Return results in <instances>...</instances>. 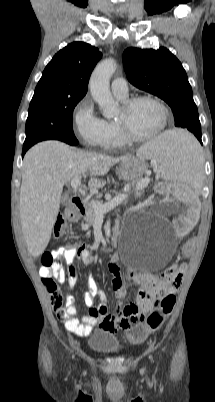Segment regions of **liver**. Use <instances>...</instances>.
Returning a JSON list of instances; mask_svg holds the SVG:
<instances>
[{
    "mask_svg": "<svg viewBox=\"0 0 215 402\" xmlns=\"http://www.w3.org/2000/svg\"><path fill=\"white\" fill-rule=\"evenodd\" d=\"M125 157L74 150L54 140L38 143L26 153L19 209L22 233L34 258L44 252L50 241L64 184L90 172L88 186L102 188L105 181L98 177Z\"/></svg>",
    "mask_w": 215,
    "mask_h": 402,
    "instance_id": "liver-1",
    "label": "liver"
}]
</instances>
